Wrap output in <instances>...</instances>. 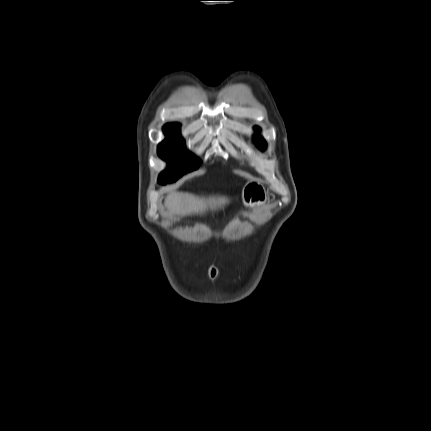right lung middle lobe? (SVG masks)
Masks as SVG:
<instances>
[{
	"label": "right lung middle lobe",
	"mask_w": 431,
	"mask_h": 431,
	"mask_svg": "<svg viewBox=\"0 0 431 431\" xmlns=\"http://www.w3.org/2000/svg\"><path fill=\"white\" fill-rule=\"evenodd\" d=\"M166 139L157 148L160 158L168 162V168L159 175L158 182L161 184L175 182L187 172L199 168L201 160L185 151V142L181 137L180 130L163 129Z\"/></svg>",
	"instance_id": "dd1d6c3e"
}]
</instances>
